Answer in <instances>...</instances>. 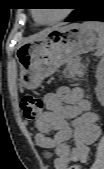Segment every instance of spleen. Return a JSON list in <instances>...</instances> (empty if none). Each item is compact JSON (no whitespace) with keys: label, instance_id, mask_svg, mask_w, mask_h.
<instances>
[{"label":"spleen","instance_id":"spleen-1","mask_svg":"<svg viewBox=\"0 0 104 169\" xmlns=\"http://www.w3.org/2000/svg\"><path fill=\"white\" fill-rule=\"evenodd\" d=\"M89 28L95 30L98 33V40H97V52L95 53L96 56H101L103 53L104 48V28L101 23L95 22H88L85 23Z\"/></svg>","mask_w":104,"mask_h":169}]
</instances>
